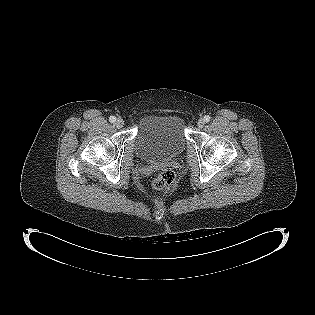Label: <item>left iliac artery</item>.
I'll use <instances>...</instances> for the list:
<instances>
[{
    "label": "left iliac artery",
    "mask_w": 315,
    "mask_h": 315,
    "mask_svg": "<svg viewBox=\"0 0 315 315\" xmlns=\"http://www.w3.org/2000/svg\"><path fill=\"white\" fill-rule=\"evenodd\" d=\"M204 121L208 123L210 121V116L209 115L204 116Z\"/></svg>",
    "instance_id": "obj_1"
}]
</instances>
